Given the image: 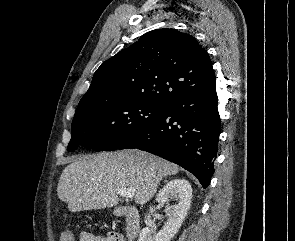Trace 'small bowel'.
<instances>
[{"mask_svg": "<svg viewBox=\"0 0 295 241\" xmlns=\"http://www.w3.org/2000/svg\"><path fill=\"white\" fill-rule=\"evenodd\" d=\"M80 241H123L117 233H109L107 235H97L91 232H82Z\"/></svg>", "mask_w": 295, "mask_h": 241, "instance_id": "obj_1", "label": "small bowel"}]
</instances>
